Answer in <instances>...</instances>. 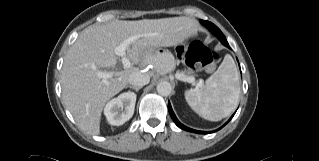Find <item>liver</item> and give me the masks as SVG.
<instances>
[{"label": "liver", "mask_w": 319, "mask_h": 161, "mask_svg": "<svg viewBox=\"0 0 319 161\" xmlns=\"http://www.w3.org/2000/svg\"><path fill=\"white\" fill-rule=\"evenodd\" d=\"M197 31V21L189 17L116 20L84 29L69 48L61 74L63 102L79 127L88 134L99 135L106 102L127 86L132 73L140 72L138 67H130L116 72L115 76L112 74L106 81L98 77V71L115 68L119 60L114 53L116 46L130 37H137L127 47V58L141 67L151 64L162 73L146 52L182 43Z\"/></svg>", "instance_id": "liver-1"}]
</instances>
